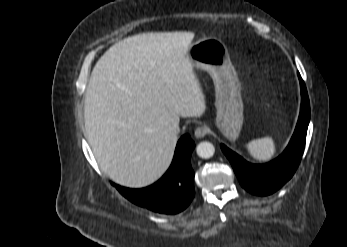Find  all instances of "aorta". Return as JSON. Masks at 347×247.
Wrapping results in <instances>:
<instances>
[{
  "label": "aorta",
  "mask_w": 347,
  "mask_h": 247,
  "mask_svg": "<svg viewBox=\"0 0 347 247\" xmlns=\"http://www.w3.org/2000/svg\"><path fill=\"white\" fill-rule=\"evenodd\" d=\"M197 155L204 159L211 158L215 153V147L208 141H203L196 148Z\"/></svg>",
  "instance_id": "aorta-1"
}]
</instances>
